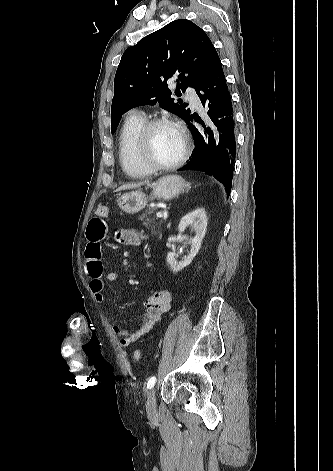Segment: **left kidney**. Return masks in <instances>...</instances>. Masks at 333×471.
Instances as JSON below:
<instances>
[{
	"mask_svg": "<svg viewBox=\"0 0 333 471\" xmlns=\"http://www.w3.org/2000/svg\"><path fill=\"white\" fill-rule=\"evenodd\" d=\"M207 220L208 219L203 208H197L182 217L178 226L179 232H184L188 225H194L196 227V235L190 240V251L182 258V260H177L178 255L175 252H169L167 254V262L173 272H179L188 266L198 253L201 242L206 233Z\"/></svg>",
	"mask_w": 333,
	"mask_h": 471,
	"instance_id": "1",
	"label": "left kidney"
}]
</instances>
